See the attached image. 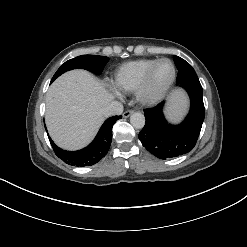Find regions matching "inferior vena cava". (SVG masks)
<instances>
[{"mask_svg": "<svg viewBox=\"0 0 247 247\" xmlns=\"http://www.w3.org/2000/svg\"><path fill=\"white\" fill-rule=\"evenodd\" d=\"M123 112V105L120 102L112 101L108 103L103 109V115L105 117L120 115Z\"/></svg>", "mask_w": 247, "mask_h": 247, "instance_id": "602c4592", "label": "inferior vena cava"}]
</instances>
